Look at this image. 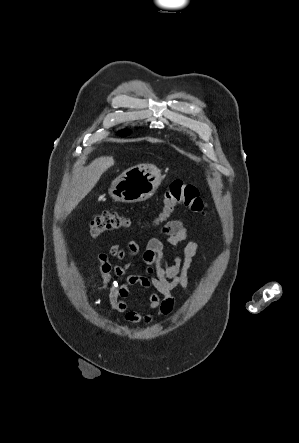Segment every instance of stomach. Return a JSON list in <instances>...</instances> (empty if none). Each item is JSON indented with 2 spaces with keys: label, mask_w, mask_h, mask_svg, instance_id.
<instances>
[{
  "label": "stomach",
  "mask_w": 299,
  "mask_h": 443,
  "mask_svg": "<svg viewBox=\"0 0 299 443\" xmlns=\"http://www.w3.org/2000/svg\"><path fill=\"white\" fill-rule=\"evenodd\" d=\"M162 182L161 171L153 165L125 170L111 184L110 196L119 202L136 203L149 199Z\"/></svg>",
  "instance_id": "obj_1"
}]
</instances>
